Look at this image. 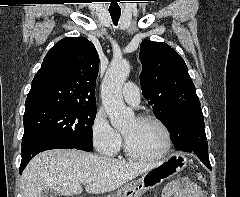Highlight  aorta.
I'll use <instances>...</instances> for the list:
<instances>
[{
  "instance_id": "aorta-1",
  "label": "aorta",
  "mask_w": 240,
  "mask_h": 197,
  "mask_svg": "<svg viewBox=\"0 0 240 197\" xmlns=\"http://www.w3.org/2000/svg\"><path fill=\"white\" fill-rule=\"evenodd\" d=\"M130 72L126 60L112 61L102 83V102L112 126L116 129L126 127L134 118L132 109L126 107L122 97V86Z\"/></svg>"
}]
</instances>
